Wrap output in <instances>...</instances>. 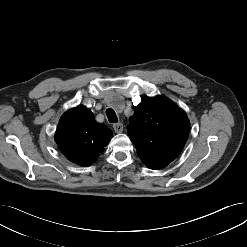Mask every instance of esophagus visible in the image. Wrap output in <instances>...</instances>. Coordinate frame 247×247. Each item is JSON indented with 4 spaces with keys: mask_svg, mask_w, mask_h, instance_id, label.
Returning a JSON list of instances; mask_svg holds the SVG:
<instances>
[{
    "mask_svg": "<svg viewBox=\"0 0 247 247\" xmlns=\"http://www.w3.org/2000/svg\"><path fill=\"white\" fill-rule=\"evenodd\" d=\"M113 128H114V131L116 133H122L123 132V129H124V126L122 123H116L113 125Z\"/></svg>",
    "mask_w": 247,
    "mask_h": 247,
    "instance_id": "34e87169",
    "label": "esophagus"
}]
</instances>
